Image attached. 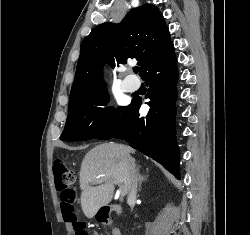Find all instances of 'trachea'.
I'll use <instances>...</instances> for the list:
<instances>
[{"label":"trachea","mask_w":250,"mask_h":235,"mask_svg":"<svg viewBox=\"0 0 250 235\" xmlns=\"http://www.w3.org/2000/svg\"><path fill=\"white\" fill-rule=\"evenodd\" d=\"M139 70H140L139 67H134V68H133L134 73H138Z\"/></svg>","instance_id":"3493384b"}]
</instances>
